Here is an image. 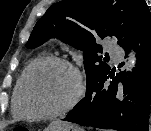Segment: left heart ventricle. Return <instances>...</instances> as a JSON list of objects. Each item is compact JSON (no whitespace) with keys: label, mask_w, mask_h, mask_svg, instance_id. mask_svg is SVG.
I'll list each match as a JSON object with an SVG mask.
<instances>
[{"label":"left heart ventricle","mask_w":151,"mask_h":131,"mask_svg":"<svg viewBox=\"0 0 151 131\" xmlns=\"http://www.w3.org/2000/svg\"><path fill=\"white\" fill-rule=\"evenodd\" d=\"M75 88L73 74L59 64L36 69L27 83L25 104L33 111L51 112L62 107Z\"/></svg>","instance_id":"b2bd125f"}]
</instances>
